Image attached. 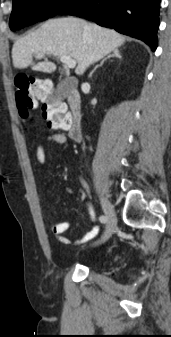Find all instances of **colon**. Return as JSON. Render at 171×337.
Returning a JSON list of instances; mask_svg holds the SVG:
<instances>
[{"label":"colon","mask_w":171,"mask_h":337,"mask_svg":"<svg viewBox=\"0 0 171 337\" xmlns=\"http://www.w3.org/2000/svg\"><path fill=\"white\" fill-rule=\"evenodd\" d=\"M16 106L23 118L30 115V111L35 107L36 98H41L42 103H49V106H41L43 119H48V126L51 129H67L69 117L65 114L63 100H56V92L51 91L49 82L41 77L18 75L15 78Z\"/></svg>","instance_id":"obj_1"}]
</instances>
